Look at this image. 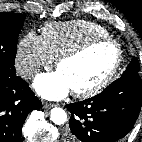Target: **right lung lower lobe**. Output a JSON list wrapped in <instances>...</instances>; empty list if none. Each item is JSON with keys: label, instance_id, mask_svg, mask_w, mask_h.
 Masks as SVG:
<instances>
[{"label": "right lung lower lobe", "instance_id": "98d812e1", "mask_svg": "<svg viewBox=\"0 0 142 142\" xmlns=\"http://www.w3.org/2000/svg\"><path fill=\"white\" fill-rule=\"evenodd\" d=\"M41 101L28 83L16 75H0V142H21L22 126Z\"/></svg>", "mask_w": 142, "mask_h": 142}]
</instances>
